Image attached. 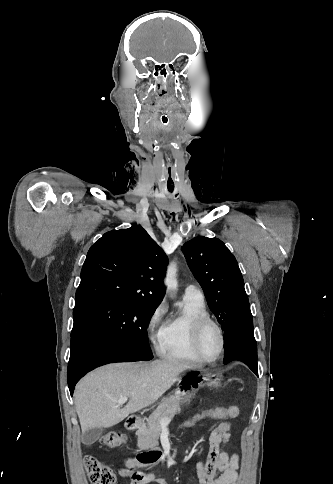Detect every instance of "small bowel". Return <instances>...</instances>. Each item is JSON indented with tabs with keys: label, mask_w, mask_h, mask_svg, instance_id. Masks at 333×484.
<instances>
[{
	"label": "small bowel",
	"mask_w": 333,
	"mask_h": 484,
	"mask_svg": "<svg viewBox=\"0 0 333 484\" xmlns=\"http://www.w3.org/2000/svg\"><path fill=\"white\" fill-rule=\"evenodd\" d=\"M239 415L237 406L227 407V418H235ZM231 427L226 421H222L210 435L209 461L196 463L199 484H237L239 458L237 454H228L222 451V446L229 442ZM122 477L128 478L131 484H149L158 482L165 484L162 480L156 479L154 473L136 472L130 469H120Z\"/></svg>",
	"instance_id": "obj_1"
}]
</instances>
